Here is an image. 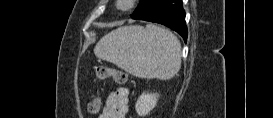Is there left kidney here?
Here are the masks:
<instances>
[{
	"instance_id": "5707ae66",
	"label": "left kidney",
	"mask_w": 273,
	"mask_h": 118,
	"mask_svg": "<svg viewBox=\"0 0 273 118\" xmlns=\"http://www.w3.org/2000/svg\"><path fill=\"white\" fill-rule=\"evenodd\" d=\"M159 94L144 92L137 100L135 109L139 116H146L156 106Z\"/></svg>"
}]
</instances>
